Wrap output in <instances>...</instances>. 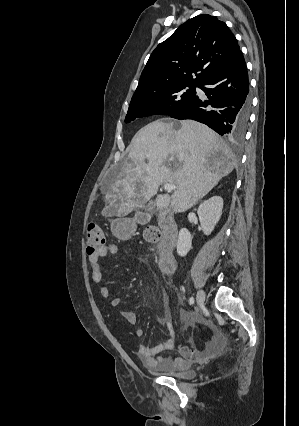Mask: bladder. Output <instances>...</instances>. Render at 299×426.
<instances>
[{
	"label": "bladder",
	"mask_w": 299,
	"mask_h": 426,
	"mask_svg": "<svg viewBox=\"0 0 299 426\" xmlns=\"http://www.w3.org/2000/svg\"><path fill=\"white\" fill-rule=\"evenodd\" d=\"M162 373L165 375L175 378V379H182V380H189L193 379L196 376V372L193 369H166L163 370Z\"/></svg>",
	"instance_id": "1"
}]
</instances>
